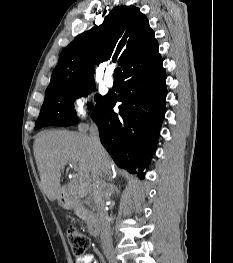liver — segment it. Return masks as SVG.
Masks as SVG:
<instances>
[{"label":"liver","mask_w":233,"mask_h":263,"mask_svg":"<svg viewBox=\"0 0 233 263\" xmlns=\"http://www.w3.org/2000/svg\"><path fill=\"white\" fill-rule=\"evenodd\" d=\"M34 156L41 179V190L50 201L58 199L63 189L60 168L75 164L82 181L96 180L100 175H110L113 162L102 147L97 160L88 135L68 131L40 133L34 142Z\"/></svg>","instance_id":"obj_1"}]
</instances>
